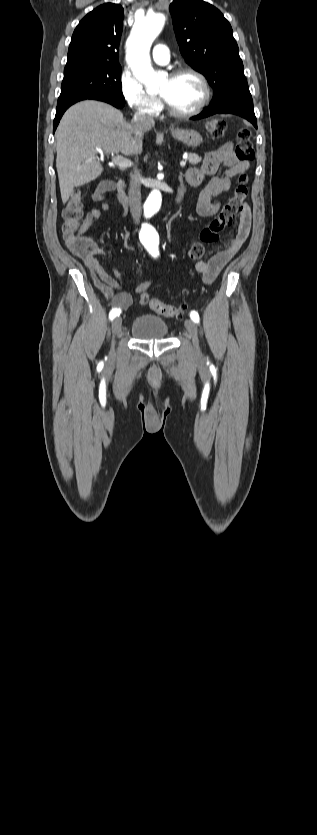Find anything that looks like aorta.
<instances>
[{"label": "aorta", "mask_w": 317, "mask_h": 835, "mask_svg": "<svg viewBox=\"0 0 317 835\" xmlns=\"http://www.w3.org/2000/svg\"><path fill=\"white\" fill-rule=\"evenodd\" d=\"M166 19L167 14L164 12L147 14L144 18L136 21L126 42V61L135 78L145 86L148 92L158 90L159 84L167 76L164 72L155 71L150 59L151 45L161 32ZM161 203V193L154 189L144 206L146 220L141 233L145 237L151 238L155 243L158 239L152 217L159 211Z\"/></svg>", "instance_id": "762f6f07"}]
</instances>
